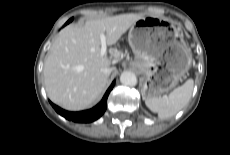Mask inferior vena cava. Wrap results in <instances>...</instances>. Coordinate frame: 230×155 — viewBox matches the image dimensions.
<instances>
[{
    "mask_svg": "<svg viewBox=\"0 0 230 155\" xmlns=\"http://www.w3.org/2000/svg\"><path fill=\"white\" fill-rule=\"evenodd\" d=\"M104 71H105V73H107L108 75H110L112 69L109 68V67H107V68L104 69Z\"/></svg>",
    "mask_w": 230,
    "mask_h": 155,
    "instance_id": "obj_1",
    "label": "inferior vena cava"
}]
</instances>
